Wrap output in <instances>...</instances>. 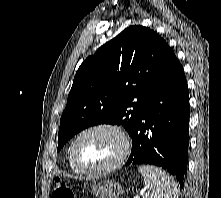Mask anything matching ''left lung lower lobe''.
I'll return each mask as SVG.
<instances>
[{"label":"left lung lower lobe","instance_id":"left-lung-lower-lobe-1","mask_svg":"<svg viewBox=\"0 0 221 198\" xmlns=\"http://www.w3.org/2000/svg\"><path fill=\"white\" fill-rule=\"evenodd\" d=\"M190 117L184 70L174 55L162 79L146 99L131 135L127 164H153L182 182L186 175Z\"/></svg>","mask_w":221,"mask_h":198}]
</instances>
